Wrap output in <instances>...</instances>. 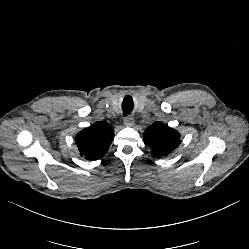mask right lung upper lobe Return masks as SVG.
I'll return each instance as SVG.
<instances>
[{"label":"right lung upper lobe","mask_w":249,"mask_h":249,"mask_svg":"<svg viewBox=\"0 0 249 249\" xmlns=\"http://www.w3.org/2000/svg\"><path fill=\"white\" fill-rule=\"evenodd\" d=\"M114 138L112 126L104 121H99L79 132L75 141L81 156L88 160L102 158Z\"/></svg>","instance_id":"right-lung-upper-lobe-1"}]
</instances>
